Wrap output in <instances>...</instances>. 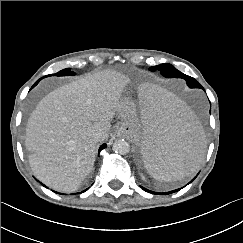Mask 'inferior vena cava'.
Instances as JSON below:
<instances>
[{
    "label": "inferior vena cava",
    "instance_id": "602c4592",
    "mask_svg": "<svg viewBox=\"0 0 243 243\" xmlns=\"http://www.w3.org/2000/svg\"><path fill=\"white\" fill-rule=\"evenodd\" d=\"M102 139V134L100 132H97L93 135V140L98 142Z\"/></svg>",
    "mask_w": 243,
    "mask_h": 243
}]
</instances>
